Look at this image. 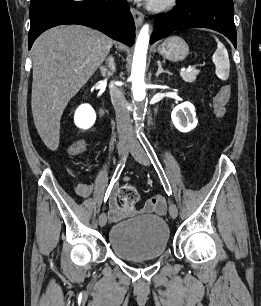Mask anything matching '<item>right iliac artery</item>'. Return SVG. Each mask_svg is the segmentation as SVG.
<instances>
[{
  "label": "right iliac artery",
  "mask_w": 261,
  "mask_h": 306,
  "mask_svg": "<svg viewBox=\"0 0 261 306\" xmlns=\"http://www.w3.org/2000/svg\"><path fill=\"white\" fill-rule=\"evenodd\" d=\"M123 168H124V164H123V163H119L118 166H117V168H116V170H115V173H114V175H113V177H112V179H111V182H110V184H109V186H108V188H107V191H106V193H105L104 202H106V201L108 200L109 195H110V193H111V190H112V188H113V185H114V183L118 180V178H119V176H120V174H121Z\"/></svg>",
  "instance_id": "1"
}]
</instances>
